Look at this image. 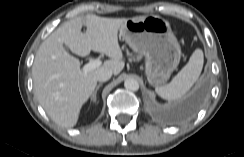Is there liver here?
Instances as JSON below:
<instances>
[{
  "instance_id": "obj_1",
  "label": "liver",
  "mask_w": 244,
  "mask_h": 157,
  "mask_svg": "<svg viewBox=\"0 0 244 157\" xmlns=\"http://www.w3.org/2000/svg\"><path fill=\"white\" fill-rule=\"evenodd\" d=\"M126 18H105L88 14L63 23L40 45L32 66L35 95L47 115L59 126L74 127L82 106L93 94L97 74L109 69L118 75L124 68L118 33ZM85 25L86 33H82ZM92 51L109 60L101 67L84 73L79 60Z\"/></svg>"
}]
</instances>
